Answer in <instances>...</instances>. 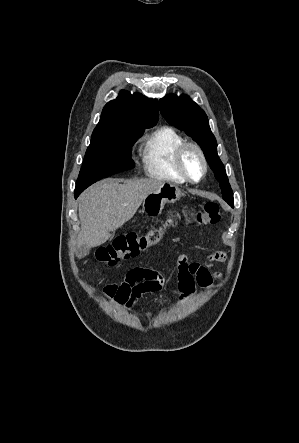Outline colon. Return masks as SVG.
I'll list each match as a JSON object with an SVG mask.
<instances>
[{"label":"colon","instance_id":"1","mask_svg":"<svg viewBox=\"0 0 299 443\" xmlns=\"http://www.w3.org/2000/svg\"><path fill=\"white\" fill-rule=\"evenodd\" d=\"M220 207L215 202H207L198 211L187 210L183 214L172 213L161 225L144 232H131L117 237L112 243L98 249L97 259L113 266L122 259L136 257L155 245L165 230L183 223L185 225L211 226L219 222Z\"/></svg>","mask_w":299,"mask_h":443}]
</instances>
